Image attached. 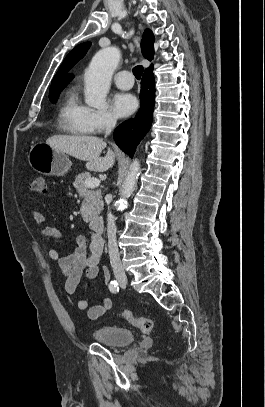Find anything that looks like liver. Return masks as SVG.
Masks as SVG:
<instances>
[{"mask_svg":"<svg viewBox=\"0 0 265 407\" xmlns=\"http://www.w3.org/2000/svg\"><path fill=\"white\" fill-rule=\"evenodd\" d=\"M46 143L58 151L86 161L88 170L105 172L115 163V154L111 148H108L105 157H100L107 144L96 136L54 135Z\"/></svg>","mask_w":265,"mask_h":407,"instance_id":"liver-1","label":"liver"}]
</instances>
